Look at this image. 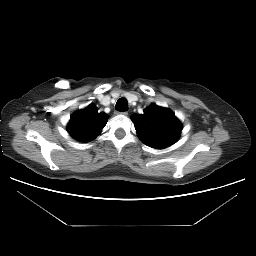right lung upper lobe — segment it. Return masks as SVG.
Returning a JSON list of instances; mask_svg holds the SVG:
<instances>
[{"label":"right lung upper lobe","instance_id":"cb5924a9","mask_svg":"<svg viewBox=\"0 0 256 256\" xmlns=\"http://www.w3.org/2000/svg\"><path fill=\"white\" fill-rule=\"evenodd\" d=\"M108 115L98 113L95 105L90 104L72 115L68 123V132L76 140L88 142L93 140L105 127Z\"/></svg>","mask_w":256,"mask_h":256}]
</instances>
